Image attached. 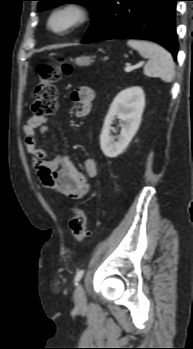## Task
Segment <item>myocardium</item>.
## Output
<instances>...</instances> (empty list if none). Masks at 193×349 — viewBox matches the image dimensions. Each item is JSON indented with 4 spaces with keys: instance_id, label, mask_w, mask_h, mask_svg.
Masks as SVG:
<instances>
[{
    "instance_id": "1",
    "label": "myocardium",
    "mask_w": 193,
    "mask_h": 349,
    "mask_svg": "<svg viewBox=\"0 0 193 349\" xmlns=\"http://www.w3.org/2000/svg\"><path fill=\"white\" fill-rule=\"evenodd\" d=\"M62 12H72L73 13V20L69 25L62 29H54L51 25L52 19L54 16H56L59 13ZM91 9L87 4H85L82 1H67L63 2L61 4H58L57 6L53 7L46 18V27L47 29L54 35L57 36H65L68 35L78 28L82 27L84 24H86L90 18H91Z\"/></svg>"
}]
</instances>
